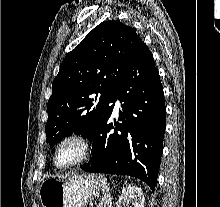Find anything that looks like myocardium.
Listing matches in <instances>:
<instances>
[{
  "label": "myocardium",
  "mask_w": 220,
  "mask_h": 207,
  "mask_svg": "<svg viewBox=\"0 0 220 207\" xmlns=\"http://www.w3.org/2000/svg\"><path fill=\"white\" fill-rule=\"evenodd\" d=\"M68 143H74L79 147V154L75 159H73L70 162L67 163H59L57 161V156L60 151V149L68 144ZM92 142L91 140L83 133L81 132H70L65 134L60 140L57 142V144L54 147L53 151V163L57 168L64 169V168H70L76 165L81 164L87 158L90 156L92 152Z\"/></svg>",
  "instance_id": "f54148a6"
}]
</instances>
